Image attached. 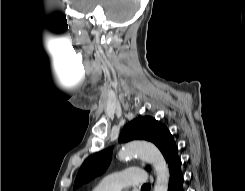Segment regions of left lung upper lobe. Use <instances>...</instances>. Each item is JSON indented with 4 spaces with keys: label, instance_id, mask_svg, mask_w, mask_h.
Returning <instances> with one entry per match:
<instances>
[{
    "label": "left lung upper lobe",
    "instance_id": "left-lung-upper-lobe-1",
    "mask_svg": "<svg viewBox=\"0 0 245 191\" xmlns=\"http://www.w3.org/2000/svg\"><path fill=\"white\" fill-rule=\"evenodd\" d=\"M136 139L153 142L162 152L166 161H168L177 148L167 127L150 116L138 117L132 120L123 128L119 136L120 142H128ZM110 160V148L88 157L77 174L74 188L81 185L85 180H90L101 174L106 169ZM147 169L150 170L149 167Z\"/></svg>",
    "mask_w": 245,
    "mask_h": 191
}]
</instances>
